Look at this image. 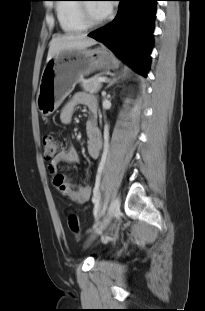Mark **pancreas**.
<instances>
[{
  "mask_svg": "<svg viewBox=\"0 0 205 311\" xmlns=\"http://www.w3.org/2000/svg\"><path fill=\"white\" fill-rule=\"evenodd\" d=\"M99 77L90 78V79H80V85L85 92H89L91 94L97 93L101 87L102 82H98L97 79Z\"/></svg>",
  "mask_w": 205,
  "mask_h": 311,
  "instance_id": "cf45deb5",
  "label": "pancreas"
}]
</instances>
